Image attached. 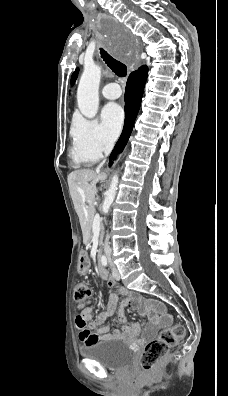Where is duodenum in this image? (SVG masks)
I'll list each match as a JSON object with an SVG mask.
<instances>
[{
  "mask_svg": "<svg viewBox=\"0 0 228 396\" xmlns=\"http://www.w3.org/2000/svg\"><path fill=\"white\" fill-rule=\"evenodd\" d=\"M100 254L101 250L98 251V258L100 257ZM98 272L103 279H106L108 277L107 271L101 265L98 266Z\"/></svg>",
  "mask_w": 228,
  "mask_h": 396,
  "instance_id": "1",
  "label": "duodenum"
}]
</instances>
